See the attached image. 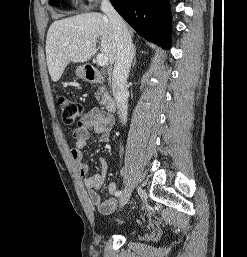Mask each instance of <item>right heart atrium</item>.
<instances>
[{"label": "right heart atrium", "mask_w": 247, "mask_h": 257, "mask_svg": "<svg viewBox=\"0 0 247 257\" xmlns=\"http://www.w3.org/2000/svg\"><path fill=\"white\" fill-rule=\"evenodd\" d=\"M76 1H82V0H76ZM88 4H93L98 2L99 0H85Z\"/></svg>", "instance_id": "right-heart-atrium-1"}]
</instances>
